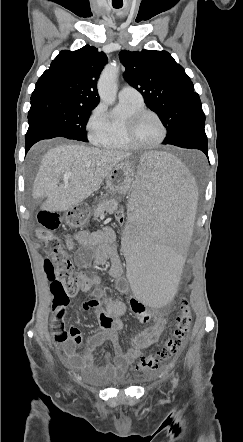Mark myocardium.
Wrapping results in <instances>:
<instances>
[{
    "instance_id": "1",
    "label": "myocardium",
    "mask_w": 243,
    "mask_h": 442,
    "mask_svg": "<svg viewBox=\"0 0 243 442\" xmlns=\"http://www.w3.org/2000/svg\"><path fill=\"white\" fill-rule=\"evenodd\" d=\"M146 115H152L154 116L161 128H162V135L159 138L158 141H156L155 143L152 144H143L140 143L136 140L135 138V129L137 126V123L139 122V120L146 116ZM167 126L163 120V118L161 117V115L159 113H157L156 111L152 110V109H141L137 112H135L134 114H132L126 121V125H125V134H126V139L128 141V143L133 147V148H138V149H154L159 147L166 139L167 137Z\"/></svg>"
}]
</instances>
